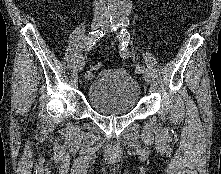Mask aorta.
<instances>
[{
  "label": "aorta",
  "instance_id": "762f6f07",
  "mask_svg": "<svg viewBox=\"0 0 221 174\" xmlns=\"http://www.w3.org/2000/svg\"><path fill=\"white\" fill-rule=\"evenodd\" d=\"M132 8V0H108V9L113 21H127Z\"/></svg>",
  "mask_w": 221,
  "mask_h": 174
}]
</instances>
